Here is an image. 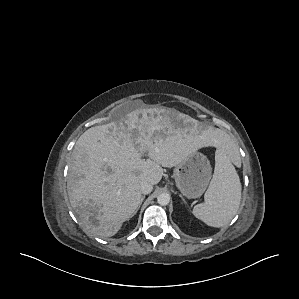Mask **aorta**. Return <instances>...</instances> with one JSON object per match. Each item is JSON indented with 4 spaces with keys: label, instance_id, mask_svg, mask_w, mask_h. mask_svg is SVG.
I'll list each match as a JSON object with an SVG mask.
<instances>
[{
    "label": "aorta",
    "instance_id": "aorta-1",
    "mask_svg": "<svg viewBox=\"0 0 299 299\" xmlns=\"http://www.w3.org/2000/svg\"><path fill=\"white\" fill-rule=\"evenodd\" d=\"M157 202L161 206H166L170 202V195L167 193L159 194L157 197Z\"/></svg>",
    "mask_w": 299,
    "mask_h": 299
}]
</instances>
